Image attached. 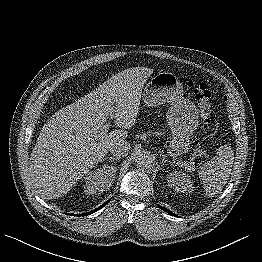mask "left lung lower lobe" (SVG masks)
<instances>
[{
    "label": "left lung lower lobe",
    "mask_w": 262,
    "mask_h": 262,
    "mask_svg": "<svg viewBox=\"0 0 262 262\" xmlns=\"http://www.w3.org/2000/svg\"><path fill=\"white\" fill-rule=\"evenodd\" d=\"M158 207H159L160 209L168 212L170 215L178 217L177 215H175L174 213H172L170 210H168V209H166V208H163V207H161V206H158Z\"/></svg>",
    "instance_id": "1"
}]
</instances>
